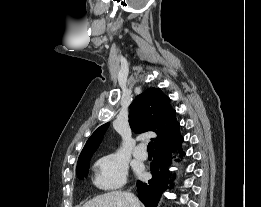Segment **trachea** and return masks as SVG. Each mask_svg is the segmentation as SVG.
Segmentation results:
<instances>
[{"label": "trachea", "instance_id": "obj_1", "mask_svg": "<svg viewBox=\"0 0 261 207\" xmlns=\"http://www.w3.org/2000/svg\"><path fill=\"white\" fill-rule=\"evenodd\" d=\"M147 150L149 153L153 152V150H154L153 142H149V144L147 146Z\"/></svg>", "mask_w": 261, "mask_h": 207}]
</instances>
